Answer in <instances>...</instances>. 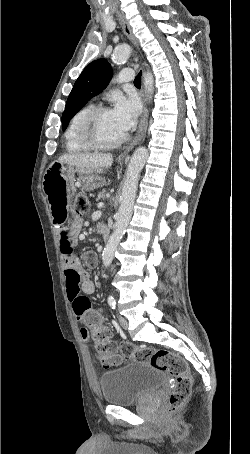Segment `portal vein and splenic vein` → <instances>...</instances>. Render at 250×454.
<instances>
[{"label":"portal vein and splenic vein","mask_w":250,"mask_h":454,"mask_svg":"<svg viewBox=\"0 0 250 454\" xmlns=\"http://www.w3.org/2000/svg\"><path fill=\"white\" fill-rule=\"evenodd\" d=\"M103 206H104V204H103L102 202L98 204V207H99V208H101V207H103Z\"/></svg>","instance_id":"18ae733b"}]
</instances>
